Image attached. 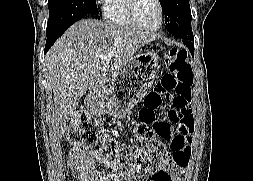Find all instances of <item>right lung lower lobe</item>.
Segmentation results:
<instances>
[{"label": "right lung lower lobe", "instance_id": "obj_1", "mask_svg": "<svg viewBox=\"0 0 253 181\" xmlns=\"http://www.w3.org/2000/svg\"><path fill=\"white\" fill-rule=\"evenodd\" d=\"M67 28H65L57 33L47 35V41H46L44 53H46L51 48V46L54 44V42L66 31Z\"/></svg>", "mask_w": 253, "mask_h": 181}]
</instances>
